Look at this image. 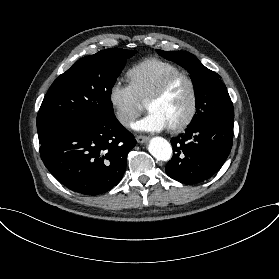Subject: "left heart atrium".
<instances>
[{"label": "left heart atrium", "instance_id": "obj_1", "mask_svg": "<svg viewBox=\"0 0 279 279\" xmlns=\"http://www.w3.org/2000/svg\"><path fill=\"white\" fill-rule=\"evenodd\" d=\"M134 129L143 132H160L168 128L167 122L156 112L149 111L145 117L133 125Z\"/></svg>", "mask_w": 279, "mask_h": 279}]
</instances>
